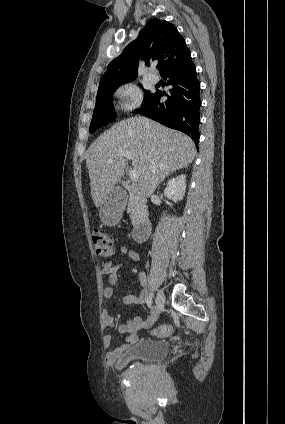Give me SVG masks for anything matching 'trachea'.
I'll use <instances>...</instances> for the list:
<instances>
[{"label": "trachea", "instance_id": "obj_1", "mask_svg": "<svg viewBox=\"0 0 285 424\" xmlns=\"http://www.w3.org/2000/svg\"><path fill=\"white\" fill-rule=\"evenodd\" d=\"M157 68L160 69L161 68V65H158Z\"/></svg>", "mask_w": 285, "mask_h": 424}]
</instances>
